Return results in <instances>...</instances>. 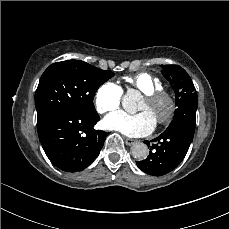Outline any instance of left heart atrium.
Segmentation results:
<instances>
[{
	"instance_id": "1",
	"label": "left heart atrium",
	"mask_w": 229,
	"mask_h": 229,
	"mask_svg": "<svg viewBox=\"0 0 229 229\" xmlns=\"http://www.w3.org/2000/svg\"><path fill=\"white\" fill-rule=\"evenodd\" d=\"M103 126L127 136L142 137L152 132L155 127V119L145 111L137 114L117 111L105 117Z\"/></svg>"
}]
</instances>
